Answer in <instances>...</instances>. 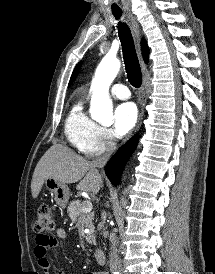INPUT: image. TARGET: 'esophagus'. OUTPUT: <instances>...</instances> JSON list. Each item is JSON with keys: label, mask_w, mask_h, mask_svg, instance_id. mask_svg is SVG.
Wrapping results in <instances>:
<instances>
[{"label": "esophagus", "mask_w": 215, "mask_h": 274, "mask_svg": "<svg viewBox=\"0 0 215 274\" xmlns=\"http://www.w3.org/2000/svg\"><path fill=\"white\" fill-rule=\"evenodd\" d=\"M128 19H129V21H130V23L132 25V29H133V32H134V36H135V40H136V43H137V47L139 48L140 38H141V32H140V29H139L138 22L136 21L135 17H133L131 14L128 15ZM141 66H142L143 70L146 69V65H145V63L143 62L142 59H141ZM141 94H142V110H141V113H140V116H139V120H138V124H137L136 130H138L140 128L141 123H142V119H143V115H144V105L146 103L145 87L144 86L141 89Z\"/></svg>", "instance_id": "34e87169"}]
</instances>
